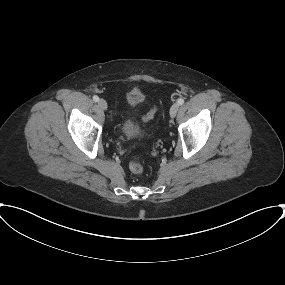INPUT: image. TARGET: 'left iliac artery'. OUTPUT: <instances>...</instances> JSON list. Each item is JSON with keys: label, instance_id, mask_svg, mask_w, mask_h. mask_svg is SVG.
Masks as SVG:
<instances>
[{"label": "left iliac artery", "instance_id": "44dca946", "mask_svg": "<svg viewBox=\"0 0 285 285\" xmlns=\"http://www.w3.org/2000/svg\"><path fill=\"white\" fill-rule=\"evenodd\" d=\"M177 103L178 105H182L184 103V99L183 98L178 99Z\"/></svg>", "mask_w": 285, "mask_h": 285}]
</instances>
